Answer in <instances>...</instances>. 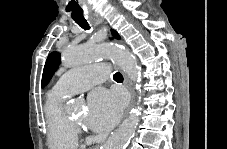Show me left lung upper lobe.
Returning <instances> with one entry per match:
<instances>
[{"mask_svg": "<svg viewBox=\"0 0 227 149\" xmlns=\"http://www.w3.org/2000/svg\"><path fill=\"white\" fill-rule=\"evenodd\" d=\"M59 61H60V55L57 52H53L48 56L43 70V75H42V81H41L42 87L47 85L50 79L52 78L55 70L58 67Z\"/></svg>", "mask_w": 227, "mask_h": 149, "instance_id": "left-lung-upper-lobe-1", "label": "left lung upper lobe"}]
</instances>
